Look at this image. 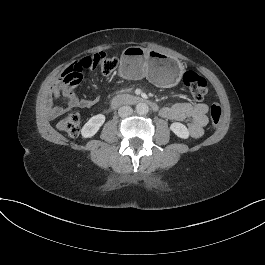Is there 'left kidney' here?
<instances>
[{
    "label": "left kidney",
    "mask_w": 265,
    "mask_h": 265,
    "mask_svg": "<svg viewBox=\"0 0 265 265\" xmlns=\"http://www.w3.org/2000/svg\"><path fill=\"white\" fill-rule=\"evenodd\" d=\"M169 129L180 139L187 140L190 138V132L187 126L181 122L171 123Z\"/></svg>",
    "instance_id": "1"
}]
</instances>
